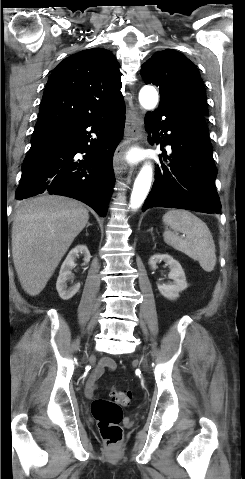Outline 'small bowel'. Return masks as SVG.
I'll return each mask as SVG.
<instances>
[{
	"label": "small bowel",
	"mask_w": 245,
	"mask_h": 479,
	"mask_svg": "<svg viewBox=\"0 0 245 479\" xmlns=\"http://www.w3.org/2000/svg\"><path fill=\"white\" fill-rule=\"evenodd\" d=\"M116 368V363L111 358H104L100 362V364L96 367L94 373L91 377L87 380L86 383V394L89 397H94L95 390L97 386V379L104 373L105 369L114 370Z\"/></svg>",
	"instance_id": "small-bowel-1"
}]
</instances>
